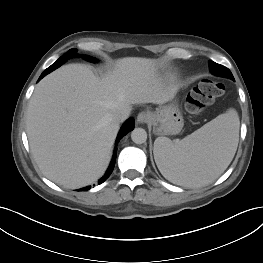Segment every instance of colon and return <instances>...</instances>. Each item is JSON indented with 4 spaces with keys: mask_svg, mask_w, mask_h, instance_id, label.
Listing matches in <instances>:
<instances>
[{
    "mask_svg": "<svg viewBox=\"0 0 263 263\" xmlns=\"http://www.w3.org/2000/svg\"><path fill=\"white\" fill-rule=\"evenodd\" d=\"M224 85L211 80L201 81L187 96L186 109L192 114L201 113L224 94Z\"/></svg>",
    "mask_w": 263,
    "mask_h": 263,
    "instance_id": "5ec220e1",
    "label": "colon"
}]
</instances>
